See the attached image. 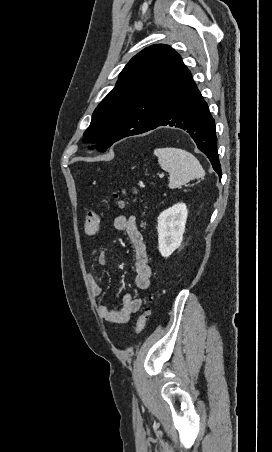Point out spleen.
<instances>
[{"label":"spleen","instance_id":"spleen-1","mask_svg":"<svg viewBox=\"0 0 272 452\" xmlns=\"http://www.w3.org/2000/svg\"><path fill=\"white\" fill-rule=\"evenodd\" d=\"M154 154L161 168L169 172V187L177 188L195 178H203L205 171L198 159L179 148H157Z\"/></svg>","mask_w":272,"mask_h":452}]
</instances>
